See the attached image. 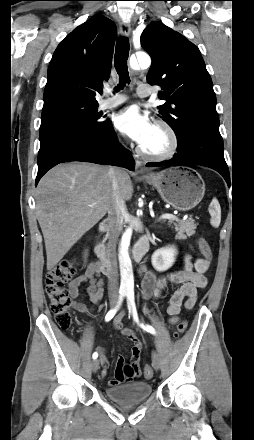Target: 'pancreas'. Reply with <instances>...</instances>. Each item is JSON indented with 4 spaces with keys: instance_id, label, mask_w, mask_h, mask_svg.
<instances>
[{
    "instance_id": "1",
    "label": "pancreas",
    "mask_w": 254,
    "mask_h": 440,
    "mask_svg": "<svg viewBox=\"0 0 254 440\" xmlns=\"http://www.w3.org/2000/svg\"><path fill=\"white\" fill-rule=\"evenodd\" d=\"M169 225L174 226V229L177 232V239H186L187 237L194 235L197 227V224L193 220L181 222H173L171 220L169 221Z\"/></svg>"
}]
</instances>
